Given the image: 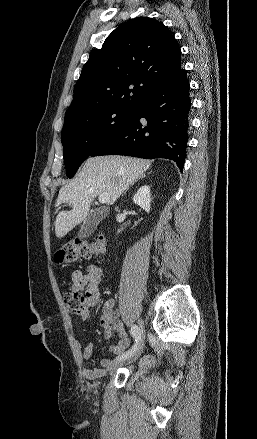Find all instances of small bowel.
Segmentation results:
<instances>
[{
  "mask_svg": "<svg viewBox=\"0 0 257 439\" xmlns=\"http://www.w3.org/2000/svg\"><path fill=\"white\" fill-rule=\"evenodd\" d=\"M72 291H81L85 297L84 309L78 315L86 320L89 317L90 309L96 307L101 299L99 291V283L101 281V270L96 267H89L86 270H75L71 274ZM115 301L108 299L102 306L100 316V324L104 330L105 338L109 339L118 336V341L109 347V351L116 355L122 353L130 346V339L125 331L122 323L118 319L115 311ZM94 347L92 344L86 345L82 350V357L85 361H89L93 355ZM113 361L109 359H101L100 367H93L86 364L83 369L84 377L88 380L101 378L113 365Z\"/></svg>",
  "mask_w": 257,
  "mask_h": 439,
  "instance_id": "small-bowel-1",
  "label": "small bowel"
}]
</instances>
